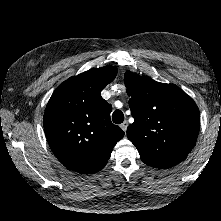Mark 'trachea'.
<instances>
[{"instance_id":"trachea-1","label":"trachea","mask_w":221,"mask_h":221,"mask_svg":"<svg viewBox=\"0 0 221 221\" xmlns=\"http://www.w3.org/2000/svg\"><path fill=\"white\" fill-rule=\"evenodd\" d=\"M112 120L116 124H120L124 121V114L121 110H115L112 114Z\"/></svg>"}]
</instances>
